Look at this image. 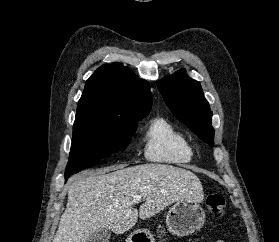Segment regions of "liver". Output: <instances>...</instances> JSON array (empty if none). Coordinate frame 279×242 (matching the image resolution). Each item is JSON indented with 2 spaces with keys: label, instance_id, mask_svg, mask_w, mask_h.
I'll use <instances>...</instances> for the list:
<instances>
[{
  "label": "liver",
  "instance_id": "obj_1",
  "mask_svg": "<svg viewBox=\"0 0 279 242\" xmlns=\"http://www.w3.org/2000/svg\"><path fill=\"white\" fill-rule=\"evenodd\" d=\"M142 196L139 212L133 197ZM203 200L198 177L189 170L163 164L112 166L75 177L68 188L67 208L52 242H87L98 228L123 234L140 219L168 205Z\"/></svg>",
  "mask_w": 279,
  "mask_h": 242
}]
</instances>
